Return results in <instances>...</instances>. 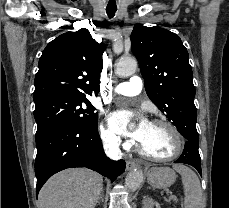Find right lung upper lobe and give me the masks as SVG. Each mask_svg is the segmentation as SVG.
<instances>
[{
	"instance_id": "cb5924a9",
	"label": "right lung upper lobe",
	"mask_w": 229,
	"mask_h": 208,
	"mask_svg": "<svg viewBox=\"0 0 229 208\" xmlns=\"http://www.w3.org/2000/svg\"><path fill=\"white\" fill-rule=\"evenodd\" d=\"M104 48L85 28L64 33L51 41L39 59L34 101L57 94L86 98L97 95Z\"/></svg>"
}]
</instances>
